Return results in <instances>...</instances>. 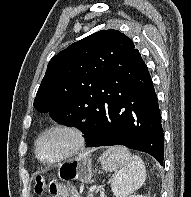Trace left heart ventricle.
I'll return each mask as SVG.
<instances>
[{
	"instance_id": "left-heart-ventricle-1",
	"label": "left heart ventricle",
	"mask_w": 191,
	"mask_h": 197,
	"mask_svg": "<svg viewBox=\"0 0 191 197\" xmlns=\"http://www.w3.org/2000/svg\"><path fill=\"white\" fill-rule=\"evenodd\" d=\"M73 144L70 134L54 131L47 134L40 142L39 153L44 160H53L66 153Z\"/></svg>"
}]
</instances>
